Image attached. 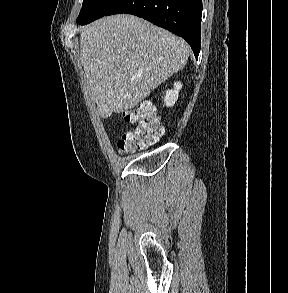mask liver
<instances>
[{
	"label": "liver",
	"mask_w": 288,
	"mask_h": 293,
	"mask_svg": "<svg viewBox=\"0 0 288 293\" xmlns=\"http://www.w3.org/2000/svg\"><path fill=\"white\" fill-rule=\"evenodd\" d=\"M80 59L98 114L134 108L184 68L187 43L133 15L103 17L82 29Z\"/></svg>",
	"instance_id": "obj_1"
}]
</instances>
